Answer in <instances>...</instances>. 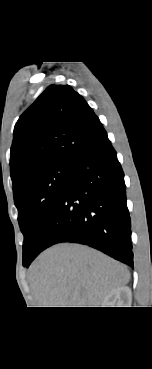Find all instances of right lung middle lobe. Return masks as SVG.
I'll list each match as a JSON object with an SVG mask.
<instances>
[{
    "label": "right lung middle lobe",
    "instance_id": "1",
    "mask_svg": "<svg viewBox=\"0 0 152 369\" xmlns=\"http://www.w3.org/2000/svg\"><path fill=\"white\" fill-rule=\"evenodd\" d=\"M70 163L60 162L30 173L14 194L24 235L23 262L35 252L44 226L64 187Z\"/></svg>",
    "mask_w": 152,
    "mask_h": 369
}]
</instances>
